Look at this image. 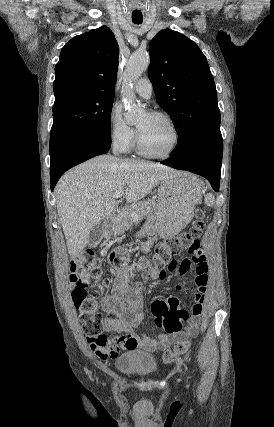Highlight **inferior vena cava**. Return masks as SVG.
I'll use <instances>...</instances> for the list:
<instances>
[{
    "mask_svg": "<svg viewBox=\"0 0 274 427\" xmlns=\"http://www.w3.org/2000/svg\"><path fill=\"white\" fill-rule=\"evenodd\" d=\"M117 152H118V148H114L113 154H117Z\"/></svg>",
    "mask_w": 274,
    "mask_h": 427,
    "instance_id": "1",
    "label": "inferior vena cava"
}]
</instances>
